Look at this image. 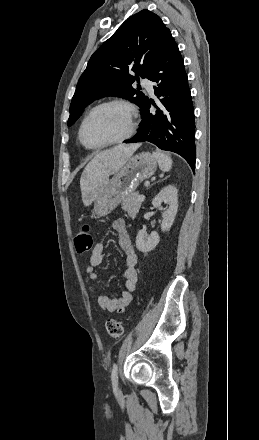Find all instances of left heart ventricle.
<instances>
[{
	"mask_svg": "<svg viewBox=\"0 0 259 440\" xmlns=\"http://www.w3.org/2000/svg\"><path fill=\"white\" fill-rule=\"evenodd\" d=\"M128 114L120 105H110L95 111L83 129V140L96 146L123 136L128 130Z\"/></svg>",
	"mask_w": 259,
	"mask_h": 440,
	"instance_id": "left-heart-ventricle-1",
	"label": "left heart ventricle"
}]
</instances>
